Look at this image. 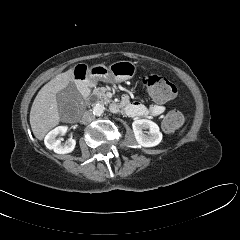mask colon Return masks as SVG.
<instances>
[{"instance_id": "colon-1", "label": "colon", "mask_w": 240, "mask_h": 240, "mask_svg": "<svg viewBox=\"0 0 240 240\" xmlns=\"http://www.w3.org/2000/svg\"><path fill=\"white\" fill-rule=\"evenodd\" d=\"M143 86L148 96L160 103L173 99L177 92L173 83L159 75H148L144 77ZM183 122V114L177 110H171L164 117L162 127L166 132H173L178 129Z\"/></svg>"}]
</instances>
